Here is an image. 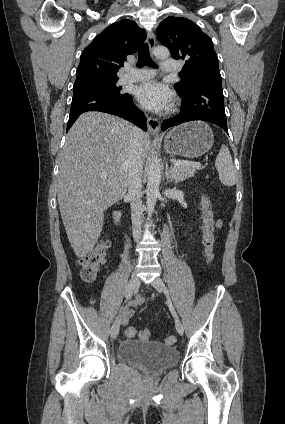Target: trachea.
Wrapping results in <instances>:
<instances>
[{
	"label": "trachea",
	"mask_w": 285,
	"mask_h": 424,
	"mask_svg": "<svg viewBox=\"0 0 285 424\" xmlns=\"http://www.w3.org/2000/svg\"><path fill=\"white\" fill-rule=\"evenodd\" d=\"M148 65L150 67H157L156 63L152 61L149 54V47L147 44L141 45L138 50V62L137 67Z\"/></svg>",
	"instance_id": "obj_1"
}]
</instances>
